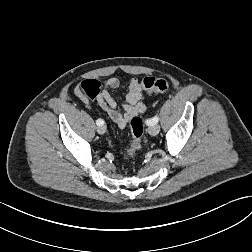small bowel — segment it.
<instances>
[{
    "instance_id": "c3829d8e",
    "label": "small bowel",
    "mask_w": 252,
    "mask_h": 252,
    "mask_svg": "<svg viewBox=\"0 0 252 252\" xmlns=\"http://www.w3.org/2000/svg\"><path fill=\"white\" fill-rule=\"evenodd\" d=\"M120 86L118 78L108 79L97 96V102L107 116L121 129L125 128L132 117L142 114L146 106L144 104V89L140 81L131 79L129 83V91L126 95V103L122 109L117 107L116 100L112 97L111 91L116 90ZM76 94L81 100L88 104V99L83 95L80 88L76 89Z\"/></svg>"
}]
</instances>
